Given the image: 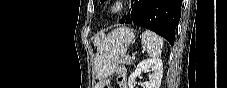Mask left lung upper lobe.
<instances>
[{
    "label": "left lung upper lobe",
    "mask_w": 227,
    "mask_h": 88,
    "mask_svg": "<svg viewBox=\"0 0 227 88\" xmlns=\"http://www.w3.org/2000/svg\"><path fill=\"white\" fill-rule=\"evenodd\" d=\"M102 3L105 1V0H100Z\"/></svg>",
    "instance_id": "left-lung-upper-lobe-1"
}]
</instances>
